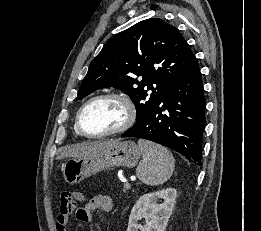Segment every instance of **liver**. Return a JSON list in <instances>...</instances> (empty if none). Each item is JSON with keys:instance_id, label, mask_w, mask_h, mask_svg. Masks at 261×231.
Segmentation results:
<instances>
[{"instance_id": "liver-1", "label": "liver", "mask_w": 261, "mask_h": 231, "mask_svg": "<svg viewBox=\"0 0 261 231\" xmlns=\"http://www.w3.org/2000/svg\"><path fill=\"white\" fill-rule=\"evenodd\" d=\"M118 140H108V141H97L83 144H76L70 147H66L63 152L58 157L60 158H81L85 156H89L91 154L97 153L106 147L114 144Z\"/></svg>"}]
</instances>
